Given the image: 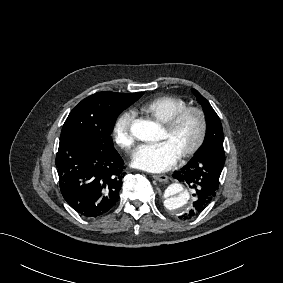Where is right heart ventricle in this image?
<instances>
[{
    "mask_svg": "<svg viewBox=\"0 0 283 283\" xmlns=\"http://www.w3.org/2000/svg\"><path fill=\"white\" fill-rule=\"evenodd\" d=\"M188 107L185 99L175 95H163L136 105L134 111L164 124L169 116Z\"/></svg>",
    "mask_w": 283,
    "mask_h": 283,
    "instance_id": "1",
    "label": "right heart ventricle"
}]
</instances>
